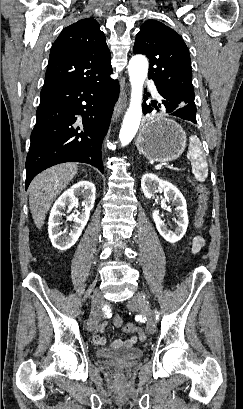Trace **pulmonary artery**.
Returning a JSON list of instances; mask_svg holds the SVG:
<instances>
[{"label":"pulmonary artery","instance_id":"obj_1","mask_svg":"<svg viewBox=\"0 0 243 409\" xmlns=\"http://www.w3.org/2000/svg\"><path fill=\"white\" fill-rule=\"evenodd\" d=\"M149 86H150V89H151V92H152L153 96L159 97V93H158L156 87L152 83H149Z\"/></svg>","mask_w":243,"mask_h":409}]
</instances>
